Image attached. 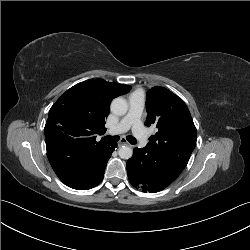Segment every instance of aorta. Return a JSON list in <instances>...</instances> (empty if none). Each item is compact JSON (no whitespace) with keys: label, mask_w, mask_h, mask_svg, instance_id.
<instances>
[{"label":"aorta","mask_w":250,"mask_h":250,"mask_svg":"<svg viewBox=\"0 0 250 250\" xmlns=\"http://www.w3.org/2000/svg\"><path fill=\"white\" fill-rule=\"evenodd\" d=\"M110 109L115 115L121 116L126 114L128 110V103L124 98L117 97L111 102ZM118 153L120 158L128 160L132 157L133 150L128 146H122L119 148Z\"/></svg>","instance_id":"obj_1"}]
</instances>
